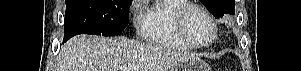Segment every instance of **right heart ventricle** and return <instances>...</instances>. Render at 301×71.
<instances>
[{"label":"right heart ventricle","instance_id":"right-heart-ventricle-1","mask_svg":"<svg viewBox=\"0 0 301 71\" xmlns=\"http://www.w3.org/2000/svg\"><path fill=\"white\" fill-rule=\"evenodd\" d=\"M186 0H158L149 6L141 22V35L149 43L179 51H191L194 47L179 34L175 13L188 4Z\"/></svg>","mask_w":301,"mask_h":71}]
</instances>
